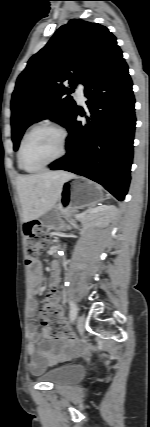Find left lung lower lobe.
Returning <instances> with one entry per match:
<instances>
[{
    "instance_id": "left-lung-lower-lobe-1",
    "label": "left lung lower lobe",
    "mask_w": 150,
    "mask_h": 427,
    "mask_svg": "<svg viewBox=\"0 0 150 427\" xmlns=\"http://www.w3.org/2000/svg\"><path fill=\"white\" fill-rule=\"evenodd\" d=\"M87 111L78 109L64 127L67 153L51 170H66L103 185L124 200L130 183L135 131V99L128 66L117 47L85 82ZM86 116L76 121L77 114Z\"/></svg>"
}]
</instances>
